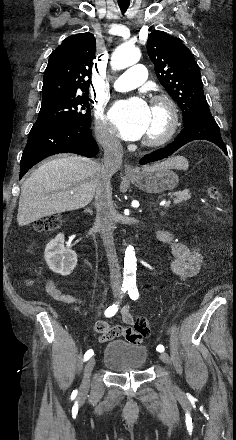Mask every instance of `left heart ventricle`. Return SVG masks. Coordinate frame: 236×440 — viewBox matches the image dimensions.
<instances>
[{
	"mask_svg": "<svg viewBox=\"0 0 236 440\" xmlns=\"http://www.w3.org/2000/svg\"><path fill=\"white\" fill-rule=\"evenodd\" d=\"M151 117L145 137L157 136L162 133L166 127L167 115L163 107H151Z\"/></svg>",
	"mask_w": 236,
	"mask_h": 440,
	"instance_id": "left-heart-ventricle-1",
	"label": "left heart ventricle"
}]
</instances>
